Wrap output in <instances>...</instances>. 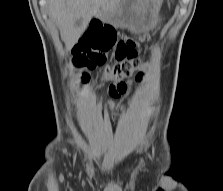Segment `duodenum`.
Listing matches in <instances>:
<instances>
[{
  "mask_svg": "<svg viewBox=\"0 0 223 191\" xmlns=\"http://www.w3.org/2000/svg\"><path fill=\"white\" fill-rule=\"evenodd\" d=\"M99 13H100V10L97 11V14H99Z\"/></svg>",
  "mask_w": 223,
  "mask_h": 191,
  "instance_id": "duodenum-1",
  "label": "duodenum"
}]
</instances>
